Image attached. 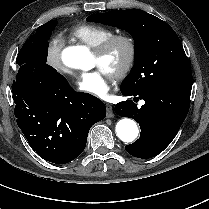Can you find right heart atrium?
Returning a JSON list of instances; mask_svg holds the SVG:
<instances>
[{"label":"right heart atrium","mask_w":209,"mask_h":209,"mask_svg":"<svg viewBox=\"0 0 209 209\" xmlns=\"http://www.w3.org/2000/svg\"><path fill=\"white\" fill-rule=\"evenodd\" d=\"M63 47V39L58 35L52 36L46 43L45 60L54 71L59 73H71L62 63L61 53Z\"/></svg>","instance_id":"d8ad5b80"}]
</instances>
